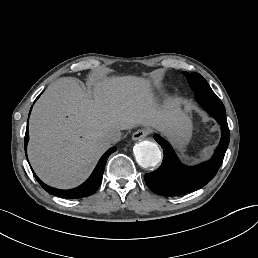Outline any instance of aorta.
Listing matches in <instances>:
<instances>
[{"label": "aorta", "instance_id": "762f6f07", "mask_svg": "<svg viewBox=\"0 0 258 258\" xmlns=\"http://www.w3.org/2000/svg\"><path fill=\"white\" fill-rule=\"evenodd\" d=\"M137 163L143 168L155 167L161 161V151L152 141H142L133 149Z\"/></svg>", "mask_w": 258, "mask_h": 258}]
</instances>
